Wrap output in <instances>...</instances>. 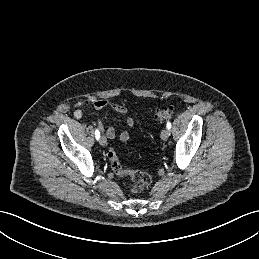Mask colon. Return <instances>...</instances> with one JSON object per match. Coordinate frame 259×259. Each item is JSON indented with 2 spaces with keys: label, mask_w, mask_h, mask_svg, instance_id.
<instances>
[{
  "label": "colon",
  "mask_w": 259,
  "mask_h": 259,
  "mask_svg": "<svg viewBox=\"0 0 259 259\" xmlns=\"http://www.w3.org/2000/svg\"><path fill=\"white\" fill-rule=\"evenodd\" d=\"M171 108H161L155 111L154 117L157 121L163 122L171 117ZM107 158L114 173L120 177H128L133 182L132 193H139L145 190L151 183V177L144 172L128 169L122 166L113 148L108 149Z\"/></svg>",
  "instance_id": "colon-1"
}]
</instances>
